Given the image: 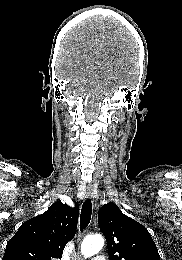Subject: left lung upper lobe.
Returning <instances> with one entry per match:
<instances>
[{
    "label": "left lung upper lobe",
    "instance_id": "obj_1",
    "mask_svg": "<svg viewBox=\"0 0 182 260\" xmlns=\"http://www.w3.org/2000/svg\"><path fill=\"white\" fill-rule=\"evenodd\" d=\"M98 219L108 243L110 260H160L148 230L123 214L116 204L110 202L103 205Z\"/></svg>",
    "mask_w": 182,
    "mask_h": 260
}]
</instances>
